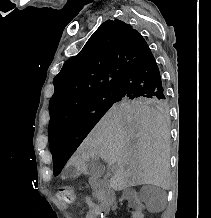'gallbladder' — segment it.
<instances>
[{
	"label": "gallbladder",
	"instance_id": "1",
	"mask_svg": "<svg viewBox=\"0 0 211 218\" xmlns=\"http://www.w3.org/2000/svg\"><path fill=\"white\" fill-rule=\"evenodd\" d=\"M86 172L88 176H92V178H102L105 174V166L99 162V158H91V160L87 162Z\"/></svg>",
	"mask_w": 211,
	"mask_h": 218
}]
</instances>
